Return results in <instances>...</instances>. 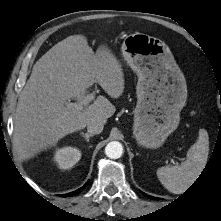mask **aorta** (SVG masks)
Segmentation results:
<instances>
[{"label": "aorta", "mask_w": 221, "mask_h": 221, "mask_svg": "<svg viewBox=\"0 0 221 221\" xmlns=\"http://www.w3.org/2000/svg\"><path fill=\"white\" fill-rule=\"evenodd\" d=\"M105 154L111 159H118L123 154V146L118 141H112L105 147Z\"/></svg>", "instance_id": "762f6f07"}]
</instances>
